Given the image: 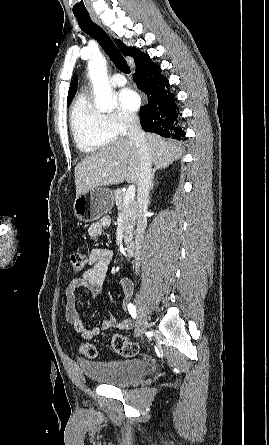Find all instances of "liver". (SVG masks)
Listing matches in <instances>:
<instances>
[{"label": "liver", "mask_w": 269, "mask_h": 445, "mask_svg": "<svg viewBox=\"0 0 269 445\" xmlns=\"http://www.w3.org/2000/svg\"><path fill=\"white\" fill-rule=\"evenodd\" d=\"M151 161L156 167L171 164L181 157L183 149L173 140L146 134ZM140 156L136 144L121 138L87 156L75 168L76 197L92 189L127 181L138 184Z\"/></svg>", "instance_id": "obj_1"}]
</instances>
